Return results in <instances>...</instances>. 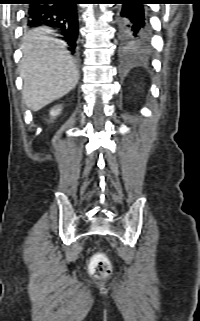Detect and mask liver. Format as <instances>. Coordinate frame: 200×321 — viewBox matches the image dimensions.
<instances>
[{
	"label": "liver",
	"mask_w": 200,
	"mask_h": 321,
	"mask_svg": "<svg viewBox=\"0 0 200 321\" xmlns=\"http://www.w3.org/2000/svg\"><path fill=\"white\" fill-rule=\"evenodd\" d=\"M48 33L45 28L30 31L21 46L22 99L33 111L69 93L79 79V71L65 50V43Z\"/></svg>",
	"instance_id": "1"
}]
</instances>
